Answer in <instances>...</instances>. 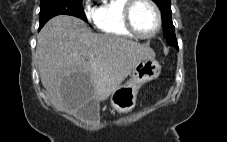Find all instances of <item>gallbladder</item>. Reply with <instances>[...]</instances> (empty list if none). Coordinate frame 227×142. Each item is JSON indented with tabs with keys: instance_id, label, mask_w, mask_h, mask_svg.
Segmentation results:
<instances>
[{
	"instance_id": "obj_1",
	"label": "gallbladder",
	"mask_w": 227,
	"mask_h": 142,
	"mask_svg": "<svg viewBox=\"0 0 227 142\" xmlns=\"http://www.w3.org/2000/svg\"><path fill=\"white\" fill-rule=\"evenodd\" d=\"M99 109V103L91 100L78 110V116L81 119L96 121L99 117Z\"/></svg>"
}]
</instances>
